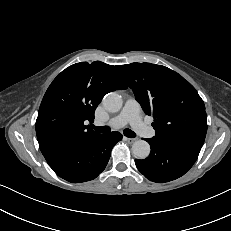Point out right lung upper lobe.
I'll return each instance as SVG.
<instances>
[{
    "label": "right lung upper lobe",
    "mask_w": 231,
    "mask_h": 231,
    "mask_svg": "<svg viewBox=\"0 0 231 231\" xmlns=\"http://www.w3.org/2000/svg\"><path fill=\"white\" fill-rule=\"evenodd\" d=\"M119 73L120 66L81 62L53 80L36 120V135L45 159L81 147L99 135L86 123L94 121L95 109L107 93L127 88Z\"/></svg>",
    "instance_id": "cb5924a9"
}]
</instances>
